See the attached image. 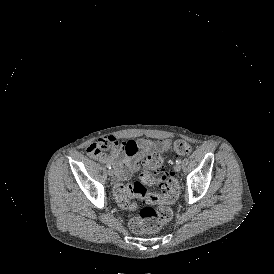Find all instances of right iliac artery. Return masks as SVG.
<instances>
[{
	"instance_id": "obj_1",
	"label": "right iliac artery",
	"mask_w": 274,
	"mask_h": 274,
	"mask_svg": "<svg viewBox=\"0 0 274 274\" xmlns=\"http://www.w3.org/2000/svg\"><path fill=\"white\" fill-rule=\"evenodd\" d=\"M107 168H108V169H111L112 166H111L110 164H107Z\"/></svg>"
}]
</instances>
